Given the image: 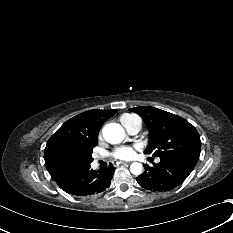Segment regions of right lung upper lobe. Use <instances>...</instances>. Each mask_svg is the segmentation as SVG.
Returning a JSON list of instances; mask_svg holds the SVG:
<instances>
[{"label": "right lung upper lobe", "mask_w": 233, "mask_h": 233, "mask_svg": "<svg viewBox=\"0 0 233 233\" xmlns=\"http://www.w3.org/2000/svg\"><path fill=\"white\" fill-rule=\"evenodd\" d=\"M116 112L117 109L83 112L66 121L50 137L44 152L45 165L59 186L67 183L79 171L66 165L67 157L96 146L102 124Z\"/></svg>", "instance_id": "right-lung-upper-lobe-1"}]
</instances>
